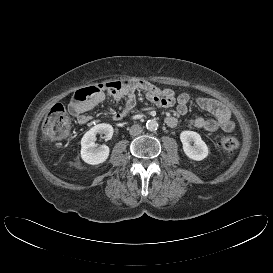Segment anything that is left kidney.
<instances>
[{
	"mask_svg": "<svg viewBox=\"0 0 273 273\" xmlns=\"http://www.w3.org/2000/svg\"><path fill=\"white\" fill-rule=\"evenodd\" d=\"M180 140L184 153L192 160L200 161L208 156L209 150L201 136L194 131H182ZM193 142V146L190 144Z\"/></svg>",
	"mask_w": 273,
	"mask_h": 273,
	"instance_id": "left-kidney-1",
	"label": "left kidney"
}]
</instances>
